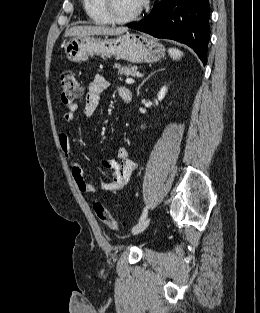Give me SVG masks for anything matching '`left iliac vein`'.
<instances>
[{
	"label": "left iliac vein",
	"instance_id": "left-iliac-vein-1",
	"mask_svg": "<svg viewBox=\"0 0 260 313\" xmlns=\"http://www.w3.org/2000/svg\"><path fill=\"white\" fill-rule=\"evenodd\" d=\"M149 223H150V218L149 217L145 218L144 220L140 221L138 224H136L132 228V233L139 234L143 232L148 227Z\"/></svg>",
	"mask_w": 260,
	"mask_h": 313
}]
</instances>
